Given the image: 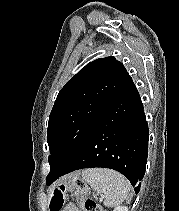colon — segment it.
Masks as SVG:
<instances>
[{
  "instance_id": "5ec220e1",
  "label": "colon",
  "mask_w": 179,
  "mask_h": 211,
  "mask_svg": "<svg viewBox=\"0 0 179 211\" xmlns=\"http://www.w3.org/2000/svg\"><path fill=\"white\" fill-rule=\"evenodd\" d=\"M85 189V184L78 178L73 179L69 189L62 186L60 189L56 190L53 195L51 201L52 211H59L63 204L65 194L69 190L72 191L75 196L79 197L77 205L80 211H104L94 200L82 196Z\"/></svg>"
}]
</instances>
